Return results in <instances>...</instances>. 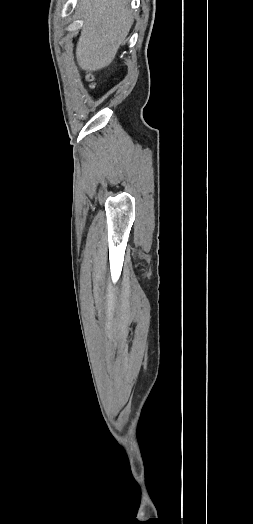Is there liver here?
Masks as SVG:
<instances>
[{
    "mask_svg": "<svg viewBox=\"0 0 253 524\" xmlns=\"http://www.w3.org/2000/svg\"><path fill=\"white\" fill-rule=\"evenodd\" d=\"M83 27L76 48L78 65L85 71L107 67L133 24L129 0H81Z\"/></svg>",
    "mask_w": 253,
    "mask_h": 524,
    "instance_id": "6515ba94",
    "label": "liver"
}]
</instances>
